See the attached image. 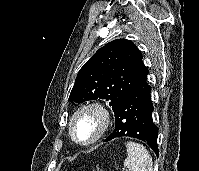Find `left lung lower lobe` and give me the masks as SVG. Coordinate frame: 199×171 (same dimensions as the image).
I'll list each match as a JSON object with an SVG mask.
<instances>
[{
	"label": "left lung lower lobe",
	"mask_w": 199,
	"mask_h": 171,
	"mask_svg": "<svg viewBox=\"0 0 199 171\" xmlns=\"http://www.w3.org/2000/svg\"><path fill=\"white\" fill-rule=\"evenodd\" d=\"M147 75L120 102L115 113V129L104 141L117 137H133L147 142L158 156V128L153 123L154 110L151 101V87Z\"/></svg>",
	"instance_id": "0a47b994"
}]
</instances>
